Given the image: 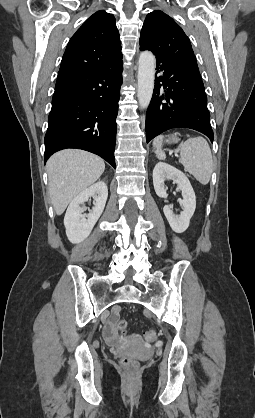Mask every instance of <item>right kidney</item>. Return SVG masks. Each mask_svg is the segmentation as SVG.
<instances>
[{
    "mask_svg": "<svg viewBox=\"0 0 255 418\" xmlns=\"http://www.w3.org/2000/svg\"><path fill=\"white\" fill-rule=\"evenodd\" d=\"M91 197L94 199V206L89 214H83L84 207L80 205ZM107 197L108 188L103 181L93 184L74 197L64 217L66 235L70 242L80 243L90 235L104 210Z\"/></svg>",
    "mask_w": 255,
    "mask_h": 418,
    "instance_id": "right-kidney-1",
    "label": "right kidney"
}]
</instances>
